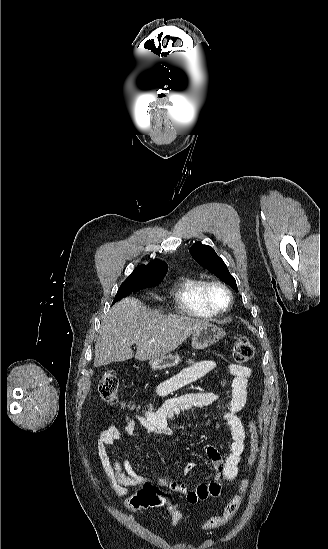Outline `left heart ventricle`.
I'll use <instances>...</instances> for the list:
<instances>
[{
    "mask_svg": "<svg viewBox=\"0 0 328 549\" xmlns=\"http://www.w3.org/2000/svg\"><path fill=\"white\" fill-rule=\"evenodd\" d=\"M212 300L217 308L223 309L228 303V295L221 289H215L212 292Z\"/></svg>",
    "mask_w": 328,
    "mask_h": 549,
    "instance_id": "b2bd125f",
    "label": "left heart ventricle"
}]
</instances>
